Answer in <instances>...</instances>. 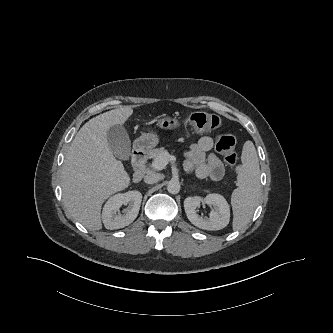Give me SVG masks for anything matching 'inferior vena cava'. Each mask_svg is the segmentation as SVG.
Here are the masks:
<instances>
[{
	"label": "inferior vena cava",
	"instance_id": "602c4592",
	"mask_svg": "<svg viewBox=\"0 0 333 333\" xmlns=\"http://www.w3.org/2000/svg\"><path fill=\"white\" fill-rule=\"evenodd\" d=\"M163 179V175L159 173L150 172L144 177V182L147 184H154Z\"/></svg>",
	"mask_w": 333,
	"mask_h": 333
}]
</instances>
